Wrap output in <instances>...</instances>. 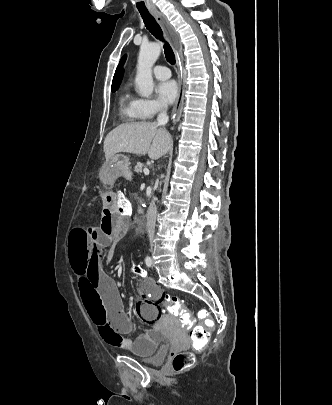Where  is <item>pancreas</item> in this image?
<instances>
[{"label": "pancreas", "mask_w": 332, "mask_h": 405, "mask_svg": "<svg viewBox=\"0 0 332 405\" xmlns=\"http://www.w3.org/2000/svg\"><path fill=\"white\" fill-rule=\"evenodd\" d=\"M143 164L141 162H138L135 166V172L137 173H142V169H143Z\"/></svg>", "instance_id": "1"}]
</instances>
